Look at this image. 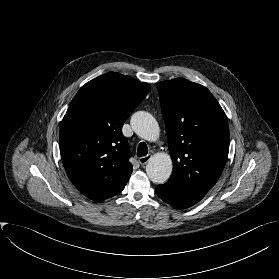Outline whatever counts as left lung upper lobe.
Listing matches in <instances>:
<instances>
[{
    "label": "left lung upper lobe",
    "instance_id": "1",
    "mask_svg": "<svg viewBox=\"0 0 279 279\" xmlns=\"http://www.w3.org/2000/svg\"><path fill=\"white\" fill-rule=\"evenodd\" d=\"M173 173L168 182L206 194L229 152L226 114L210 91L184 78L157 84Z\"/></svg>",
    "mask_w": 279,
    "mask_h": 279
}]
</instances>
